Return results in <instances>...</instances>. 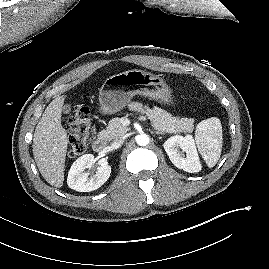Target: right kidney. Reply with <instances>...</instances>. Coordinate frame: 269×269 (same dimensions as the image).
<instances>
[{
  "label": "right kidney",
  "instance_id": "1",
  "mask_svg": "<svg viewBox=\"0 0 269 269\" xmlns=\"http://www.w3.org/2000/svg\"><path fill=\"white\" fill-rule=\"evenodd\" d=\"M95 162L96 159L92 154H85L78 158L69 170L68 186L79 192H90L100 188L110 177L111 167L102 164L97 168L95 174L88 177L89 173L85 172V169L93 167Z\"/></svg>",
  "mask_w": 269,
  "mask_h": 269
}]
</instances>
